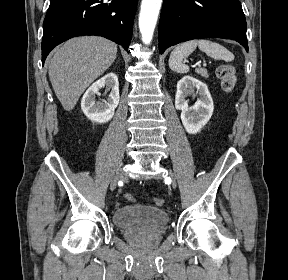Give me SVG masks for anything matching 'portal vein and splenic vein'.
<instances>
[{"label": "portal vein and splenic vein", "instance_id": "obj_1", "mask_svg": "<svg viewBox=\"0 0 288 280\" xmlns=\"http://www.w3.org/2000/svg\"><path fill=\"white\" fill-rule=\"evenodd\" d=\"M196 65L199 66V67L201 66L200 63H197ZM203 66H206V63H204Z\"/></svg>", "mask_w": 288, "mask_h": 280}]
</instances>
